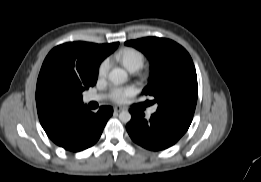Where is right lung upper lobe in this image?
Returning <instances> with one entry per match:
<instances>
[{"label":"right lung upper lobe","instance_id":"right-lung-upper-lobe-1","mask_svg":"<svg viewBox=\"0 0 261 182\" xmlns=\"http://www.w3.org/2000/svg\"><path fill=\"white\" fill-rule=\"evenodd\" d=\"M111 44L69 42L53 48L45 58L36 87V105L43 128L52 124L66 109L83 103L75 94L55 87L51 82L54 69L73 75L85 90L94 86L100 63L117 47Z\"/></svg>","mask_w":261,"mask_h":182}]
</instances>
